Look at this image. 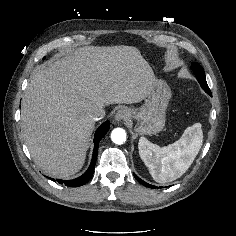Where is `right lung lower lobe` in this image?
I'll return each instance as SVG.
<instances>
[{
	"label": "right lung lower lobe",
	"instance_id": "right-lung-lower-lobe-1",
	"mask_svg": "<svg viewBox=\"0 0 236 236\" xmlns=\"http://www.w3.org/2000/svg\"><path fill=\"white\" fill-rule=\"evenodd\" d=\"M110 127V122L106 121L104 122L96 131L95 133V138H94V150H93V155H92V161L91 164L88 168V170L80 177L73 179V180H61V179H57L56 181L59 183H64L66 186L69 187H78V186H82L84 185L86 182L89 181V179L92 177L93 172H94V168H95V164H96V159H97V152H98V145H99V141L105 136V134L108 132ZM53 181H55V179L49 178Z\"/></svg>",
	"mask_w": 236,
	"mask_h": 236
}]
</instances>
